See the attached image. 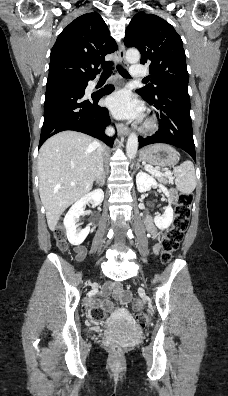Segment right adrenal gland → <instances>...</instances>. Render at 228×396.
<instances>
[{"instance_id":"right-adrenal-gland-1","label":"right adrenal gland","mask_w":228,"mask_h":396,"mask_svg":"<svg viewBox=\"0 0 228 396\" xmlns=\"http://www.w3.org/2000/svg\"><path fill=\"white\" fill-rule=\"evenodd\" d=\"M105 174H106L105 171H103V177H102V181L100 183L101 186H103L105 183Z\"/></svg>"}]
</instances>
